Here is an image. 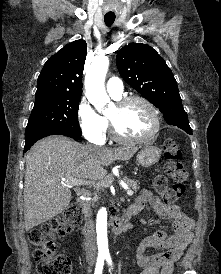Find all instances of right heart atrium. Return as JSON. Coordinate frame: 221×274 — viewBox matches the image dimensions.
Instances as JSON below:
<instances>
[{
  "label": "right heart atrium",
  "mask_w": 221,
  "mask_h": 274,
  "mask_svg": "<svg viewBox=\"0 0 221 274\" xmlns=\"http://www.w3.org/2000/svg\"><path fill=\"white\" fill-rule=\"evenodd\" d=\"M80 129L84 137L94 143H101L106 136L108 122L86 98H82L77 110Z\"/></svg>",
  "instance_id": "right-heart-atrium-1"
}]
</instances>
